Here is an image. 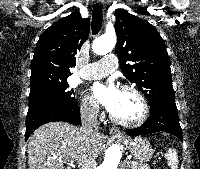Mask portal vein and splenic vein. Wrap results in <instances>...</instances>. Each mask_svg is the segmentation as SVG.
Returning <instances> with one entry per match:
<instances>
[{
	"label": "portal vein and splenic vein",
	"instance_id": "obj_1",
	"mask_svg": "<svg viewBox=\"0 0 200 169\" xmlns=\"http://www.w3.org/2000/svg\"><path fill=\"white\" fill-rule=\"evenodd\" d=\"M132 161H129V163H131ZM73 162H70V165H72Z\"/></svg>",
	"mask_w": 200,
	"mask_h": 169
}]
</instances>
